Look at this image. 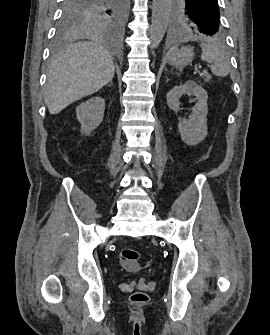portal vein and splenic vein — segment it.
Masks as SVG:
<instances>
[{
  "instance_id": "1",
  "label": "portal vein and splenic vein",
  "mask_w": 270,
  "mask_h": 335,
  "mask_svg": "<svg viewBox=\"0 0 270 335\" xmlns=\"http://www.w3.org/2000/svg\"><path fill=\"white\" fill-rule=\"evenodd\" d=\"M213 65V64H212ZM206 66L210 67L209 66V63H206ZM203 74H206V70H204Z\"/></svg>"
}]
</instances>
